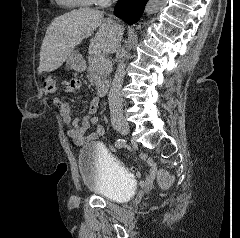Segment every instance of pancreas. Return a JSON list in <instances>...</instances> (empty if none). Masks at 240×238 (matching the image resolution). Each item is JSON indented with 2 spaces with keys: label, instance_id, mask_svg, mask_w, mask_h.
<instances>
[{
  "label": "pancreas",
  "instance_id": "pancreas-1",
  "mask_svg": "<svg viewBox=\"0 0 240 238\" xmlns=\"http://www.w3.org/2000/svg\"><path fill=\"white\" fill-rule=\"evenodd\" d=\"M100 59L102 58L99 56H92V55L88 56V64H89L87 68L88 79L90 83L96 87H99L103 83L110 69L109 65L102 66L100 64Z\"/></svg>",
  "mask_w": 240,
  "mask_h": 238
}]
</instances>
